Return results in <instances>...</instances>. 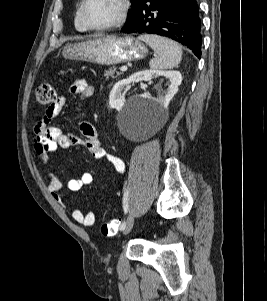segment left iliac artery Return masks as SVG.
<instances>
[{"label": "left iliac artery", "instance_id": "1", "mask_svg": "<svg viewBox=\"0 0 267 301\" xmlns=\"http://www.w3.org/2000/svg\"><path fill=\"white\" fill-rule=\"evenodd\" d=\"M128 197H129V190L126 189L125 192H124V195H123V208H124L125 214H126L127 211H128ZM125 224H126V221L124 220V221L122 222V224L120 225V230H123V229H124Z\"/></svg>", "mask_w": 267, "mask_h": 301}]
</instances>
